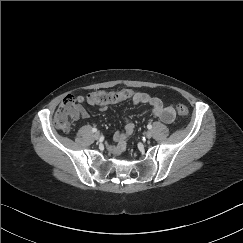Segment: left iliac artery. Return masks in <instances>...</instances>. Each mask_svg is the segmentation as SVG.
Returning a JSON list of instances; mask_svg holds the SVG:
<instances>
[{"label": "left iliac artery", "mask_w": 243, "mask_h": 243, "mask_svg": "<svg viewBox=\"0 0 243 243\" xmlns=\"http://www.w3.org/2000/svg\"><path fill=\"white\" fill-rule=\"evenodd\" d=\"M147 128L150 130V129H152V125L151 124H148L147 125Z\"/></svg>", "instance_id": "obj_1"}]
</instances>
